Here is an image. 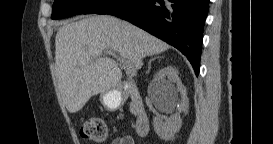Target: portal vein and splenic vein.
Wrapping results in <instances>:
<instances>
[{"instance_id": "portal-vein-and-splenic-vein-1", "label": "portal vein and splenic vein", "mask_w": 273, "mask_h": 144, "mask_svg": "<svg viewBox=\"0 0 273 144\" xmlns=\"http://www.w3.org/2000/svg\"><path fill=\"white\" fill-rule=\"evenodd\" d=\"M107 54L112 55L113 57L117 58L118 61H120L123 64V67L126 69L127 73L130 75V77H134L136 75L135 70L133 69L132 65L128 60H124L121 57L117 56L115 52L113 51H107Z\"/></svg>"}]
</instances>
